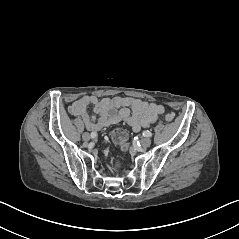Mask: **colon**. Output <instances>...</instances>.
<instances>
[{"instance_id":"obj_1","label":"colon","mask_w":239,"mask_h":239,"mask_svg":"<svg viewBox=\"0 0 239 239\" xmlns=\"http://www.w3.org/2000/svg\"><path fill=\"white\" fill-rule=\"evenodd\" d=\"M174 117H175V115L173 112H168L165 115V120L167 122H171L174 120ZM112 140L115 144L120 146L122 149H125L127 147V140H128L127 132L121 128L115 129L112 132Z\"/></svg>"}]
</instances>
